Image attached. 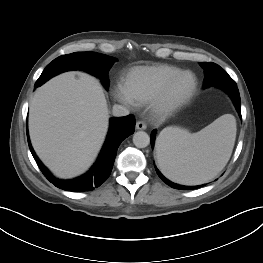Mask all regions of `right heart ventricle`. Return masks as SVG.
Returning <instances> with one entry per match:
<instances>
[{
  "mask_svg": "<svg viewBox=\"0 0 263 263\" xmlns=\"http://www.w3.org/2000/svg\"><path fill=\"white\" fill-rule=\"evenodd\" d=\"M182 70L169 64L132 68L125 76L124 88L132 103L143 105L152 100L161 87Z\"/></svg>",
  "mask_w": 263,
  "mask_h": 263,
  "instance_id": "right-heart-ventricle-1",
  "label": "right heart ventricle"
}]
</instances>
